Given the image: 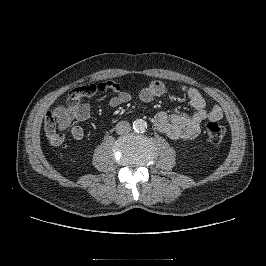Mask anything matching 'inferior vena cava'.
<instances>
[{"label":"inferior vena cava","instance_id":"inferior-vena-cava-1","mask_svg":"<svg viewBox=\"0 0 266 266\" xmlns=\"http://www.w3.org/2000/svg\"><path fill=\"white\" fill-rule=\"evenodd\" d=\"M131 131L130 123L127 121H120L116 125V133L123 135Z\"/></svg>","mask_w":266,"mask_h":266}]
</instances>
